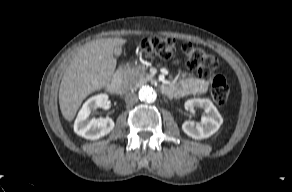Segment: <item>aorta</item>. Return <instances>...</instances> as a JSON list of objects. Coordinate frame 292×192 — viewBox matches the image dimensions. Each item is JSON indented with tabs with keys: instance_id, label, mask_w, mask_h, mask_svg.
Returning <instances> with one entry per match:
<instances>
[{
	"instance_id": "obj_1",
	"label": "aorta",
	"mask_w": 292,
	"mask_h": 192,
	"mask_svg": "<svg viewBox=\"0 0 292 192\" xmlns=\"http://www.w3.org/2000/svg\"><path fill=\"white\" fill-rule=\"evenodd\" d=\"M157 93L154 88L150 86H143L139 90V99L144 103H152L156 100Z\"/></svg>"
}]
</instances>
